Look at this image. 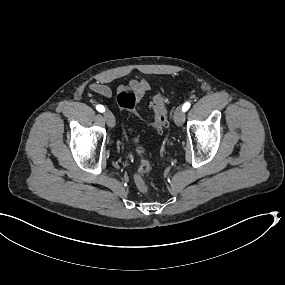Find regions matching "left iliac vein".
Returning <instances> with one entry per match:
<instances>
[{
  "instance_id": "obj_1",
  "label": "left iliac vein",
  "mask_w": 285,
  "mask_h": 285,
  "mask_svg": "<svg viewBox=\"0 0 285 285\" xmlns=\"http://www.w3.org/2000/svg\"><path fill=\"white\" fill-rule=\"evenodd\" d=\"M174 121L179 126L185 122V113L180 106L174 111Z\"/></svg>"
}]
</instances>
